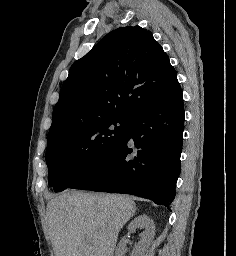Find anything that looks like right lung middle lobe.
I'll return each mask as SVG.
<instances>
[{
	"instance_id": "obj_1",
	"label": "right lung middle lobe",
	"mask_w": 236,
	"mask_h": 256,
	"mask_svg": "<svg viewBox=\"0 0 236 256\" xmlns=\"http://www.w3.org/2000/svg\"><path fill=\"white\" fill-rule=\"evenodd\" d=\"M130 118H108L73 125L47 137L48 183L56 192L68 188L124 140Z\"/></svg>"
}]
</instances>
